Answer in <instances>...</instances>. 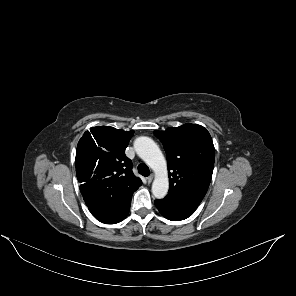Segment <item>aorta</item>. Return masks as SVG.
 <instances>
[{
    "label": "aorta",
    "instance_id": "1",
    "mask_svg": "<svg viewBox=\"0 0 296 296\" xmlns=\"http://www.w3.org/2000/svg\"><path fill=\"white\" fill-rule=\"evenodd\" d=\"M134 148L137 155L145 161L155 172V179L152 184V194L156 199H162L167 195L169 181L167 175V164L165 158L149 137L141 136L134 141Z\"/></svg>",
    "mask_w": 296,
    "mask_h": 296
}]
</instances>
